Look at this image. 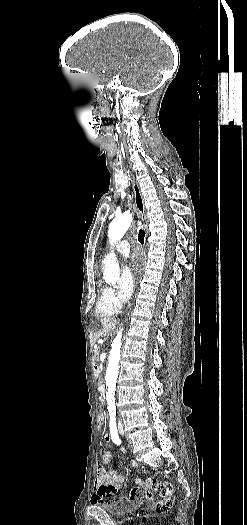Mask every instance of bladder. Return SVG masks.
Masks as SVG:
<instances>
[{"label": "bladder", "instance_id": "31cf9c89", "mask_svg": "<svg viewBox=\"0 0 247 525\" xmlns=\"http://www.w3.org/2000/svg\"><path fill=\"white\" fill-rule=\"evenodd\" d=\"M142 502L139 501L135 504L126 499H118L116 501H101L94 503V505L102 509L107 515L116 517L124 514H130L136 511L141 506Z\"/></svg>", "mask_w": 247, "mask_h": 525}]
</instances>
